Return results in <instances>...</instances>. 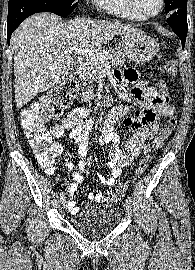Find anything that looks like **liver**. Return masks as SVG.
Returning a JSON list of instances; mask_svg holds the SVG:
<instances>
[{
    "mask_svg": "<svg viewBox=\"0 0 195 270\" xmlns=\"http://www.w3.org/2000/svg\"><path fill=\"white\" fill-rule=\"evenodd\" d=\"M135 31L131 25L106 20L62 22L51 13L28 17L11 38L16 106L23 107L38 93L64 81L79 50L99 51L115 35Z\"/></svg>",
    "mask_w": 195,
    "mask_h": 270,
    "instance_id": "liver-1",
    "label": "liver"
}]
</instances>
